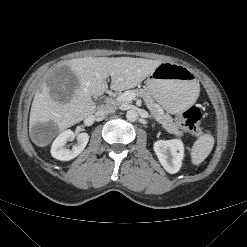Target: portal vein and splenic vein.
Here are the masks:
<instances>
[{
    "label": "portal vein and splenic vein",
    "instance_id": "18ae733b",
    "mask_svg": "<svg viewBox=\"0 0 247 247\" xmlns=\"http://www.w3.org/2000/svg\"><path fill=\"white\" fill-rule=\"evenodd\" d=\"M135 94H133L132 92H130V91H126V92H124L121 96H119L118 98H117V100H119V101H131L132 99H134L135 98Z\"/></svg>",
    "mask_w": 247,
    "mask_h": 247
}]
</instances>
